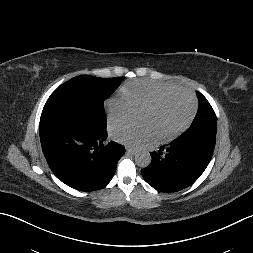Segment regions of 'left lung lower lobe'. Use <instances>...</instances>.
<instances>
[{
	"label": "left lung lower lobe",
	"mask_w": 253,
	"mask_h": 253,
	"mask_svg": "<svg viewBox=\"0 0 253 253\" xmlns=\"http://www.w3.org/2000/svg\"><path fill=\"white\" fill-rule=\"evenodd\" d=\"M142 170L145 181L158 191L172 193L193 184L208 166L213 151L201 143L174 140L158 152Z\"/></svg>",
	"instance_id": "left-lung-lower-lobe-1"
}]
</instances>
